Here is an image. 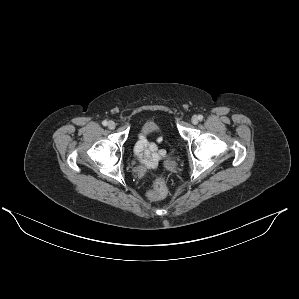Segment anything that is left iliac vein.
<instances>
[{"label":"left iliac vein","instance_id":"left-iliac-vein-1","mask_svg":"<svg viewBox=\"0 0 299 299\" xmlns=\"http://www.w3.org/2000/svg\"><path fill=\"white\" fill-rule=\"evenodd\" d=\"M191 121H192L193 124L196 125V124L199 122V119H198V117H197L196 115H194V116L191 118Z\"/></svg>","mask_w":299,"mask_h":299}]
</instances>
